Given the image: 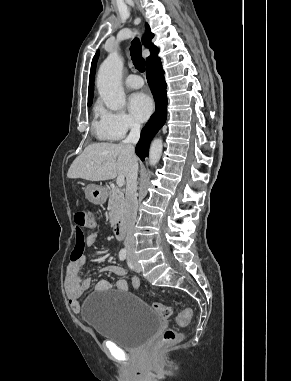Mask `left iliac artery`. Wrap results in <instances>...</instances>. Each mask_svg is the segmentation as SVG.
<instances>
[{"label":"left iliac artery","mask_w":291,"mask_h":381,"mask_svg":"<svg viewBox=\"0 0 291 381\" xmlns=\"http://www.w3.org/2000/svg\"><path fill=\"white\" fill-rule=\"evenodd\" d=\"M128 266L132 269L133 266H132V263L130 261H128Z\"/></svg>","instance_id":"44dca946"}]
</instances>
